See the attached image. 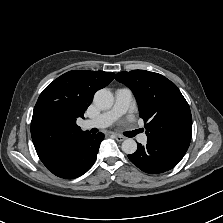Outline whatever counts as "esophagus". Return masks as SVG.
Listing matches in <instances>:
<instances>
[{
    "instance_id": "1",
    "label": "esophagus",
    "mask_w": 223,
    "mask_h": 223,
    "mask_svg": "<svg viewBox=\"0 0 223 223\" xmlns=\"http://www.w3.org/2000/svg\"><path fill=\"white\" fill-rule=\"evenodd\" d=\"M115 139L119 142H122L123 140H125V137L117 134V135H115Z\"/></svg>"
}]
</instances>
